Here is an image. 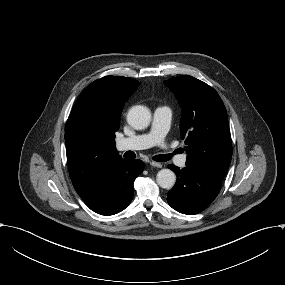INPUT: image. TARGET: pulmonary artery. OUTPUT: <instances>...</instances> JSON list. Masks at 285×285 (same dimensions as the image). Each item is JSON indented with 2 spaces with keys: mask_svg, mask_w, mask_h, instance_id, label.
<instances>
[{
  "mask_svg": "<svg viewBox=\"0 0 285 285\" xmlns=\"http://www.w3.org/2000/svg\"><path fill=\"white\" fill-rule=\"evenodd\" d=\"M173 113L168 106H158L154 111L152 127L149 133L139 134L131 137L123 138L116 143L117 150L123 151L131 148H155L163 145L165 132L170 129ZM167 156L171 160H175L177 166L185 168L187 164V154L178 156L176 150L168 151Z\"/></svg>",
  "mask_w": 285,
  "mask_h": 285,
  "instance_id": "1",
  "label": "pulmonary artery"
}]
</instances>
